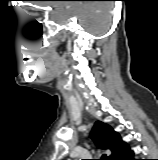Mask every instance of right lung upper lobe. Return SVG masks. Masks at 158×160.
I'll return each instance as SVG.
<instances>
[{
  "label": "right lung upper lobe",
  "instance_id": "right-lung-upper-lobe-1",
  "mask_svg": "<svg viewBox=\"0 0 158 160\" xmlns=\"http://www.w3.org/2000/svg\"><path fill=\"white\" fill-rule=\"evenodd\" d=\"M91 137L99 147L111 151V155L106 160H117L129 149L128 145L122 141L117 132L109 125L100 121L95 123Z\"/></svg>",
  "mask_w": 158,
  "mask_h": 160
}]
</instances>
